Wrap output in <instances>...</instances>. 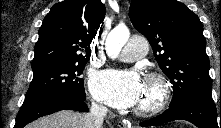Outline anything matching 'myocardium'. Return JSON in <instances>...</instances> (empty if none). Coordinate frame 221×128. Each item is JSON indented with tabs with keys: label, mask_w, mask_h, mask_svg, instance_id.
<instances>
[{
	"label": "myocardium",
	"mask_w": 221,
	"mask_h": 128,
	"mask_svg": "<svg viewBox=\"0 0 221 128\" xmlns=\"http://www.w3.org/2000/svg\"><path fill=\"white\" fill-rule=\"evenodd\" d=\"M146 85L152 87L153 97L148 104L137 106L134 112L140 116H153L161 112L166 106L170 96V88L166 78L159 73L148 74Z\"/></svg>",
	"instance_id": "obj_1"
}]
</instances>
